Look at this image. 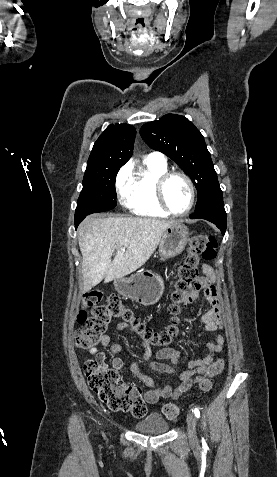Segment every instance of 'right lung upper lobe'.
Wrapping results in <instances>:
<instances>
[{
  "label": "right lung upper lobe",
  "instance_id": "right-lung-upper-lobe-1",
  "mask_svg": "<svg viewBox=\"0 0 277 477\" xmlns=\"http://www.w3.org/2000/svg\"><path fill=\"white\" fill-rule=\"evenodd\" d=\"M136 130L129 124H111L95 142L85 173L123 166L132 156Z\"/></svg>",
  "mask_w": 277,
  "mask_h": 477
}]
</instances>
